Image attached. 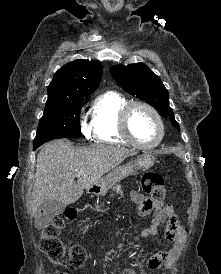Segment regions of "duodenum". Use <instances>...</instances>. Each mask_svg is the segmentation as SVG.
Instances as JSON below:
<instances>
[{
  "mask_svg": "<svg viewBox=\"0 0 221 274\" xmlns=\"http://www.w3.org/2000/svg\"><path fill=\"white\" fill-rule=\"evenodd\" d=\"M90 192H91V193H97L98 190H97L96 188H93V189L90 190Z\"/></svg>",
  "mask_w": 221,
  "mask_h": 274,
  "instance_id": "410a0bca",
  "label": "duodenum"
}]
</instances>
